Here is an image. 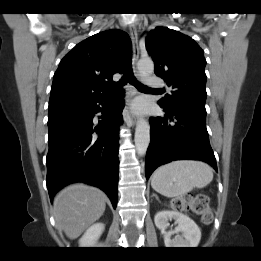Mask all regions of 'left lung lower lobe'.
<instances>
[{
    "label": "left lung lower lobe",
    "instance_id": "left-lung-lower-lobe-1",
    "mask_svg": "<svg viewBox=\"0 0 261 261\" xmlns=\"http://www.w3.org/2000/svg\"><path fill=\"white\" fill-rule=\"evenodd\" d=\"M163 109L164 117L150 118L151 142L146 154V178L157 167L181 159L201 160L217 170L206 128V110L185 102Z\"/></svg>",
    "mask_w": 261,
    "mask_h": 261
}]
</instances>
